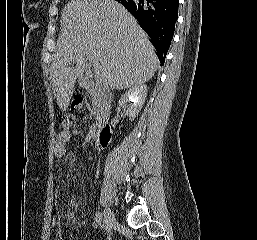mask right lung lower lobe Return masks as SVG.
Segmentation results:
<instances>
[{
	"mask_svg": "<svg viewBox=\"0 0 257 240\" xmlns=\"http://www.w3.org/2000/svg\"><path fill=\"white\" fill-rule=\"evenodd\" d=\"M137 19L151 38L163 65L174 35L179 0H117Z\"/></svg>",
	"mask_w": 257,
	"mask_h": 240,
	"instance_id": "obj_1",
	"label": "right lung lower lobe"
}]
</instances>
